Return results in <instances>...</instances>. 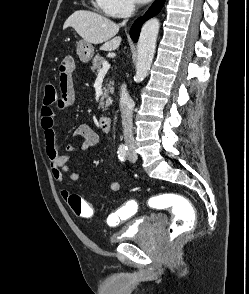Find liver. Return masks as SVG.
Returning a JSON list of instances; mask_svg holds the SVG:
<instances>
[{"label": "liver", "mask_w": 249, "mask_h": 294, "mask_svg": "<svg viewBox=\"0 0 249 294\" xmlns=\"http://www.w3.org/2000/svg\"><path fill=\"white\" fill-rule=\"evenodd\" d=\"M73 27L90 44H102L104 51L116 50L121 44V37L115 35L119 25L110 19L87 10L75 11L64 23L63 29Z\"/></svg>", "instance_id": "liver-1"}]
</instances>
